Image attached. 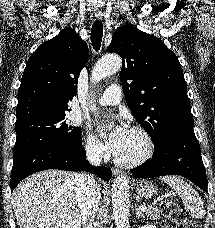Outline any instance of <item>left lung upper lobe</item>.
<instances>
[{
  "label": "left lung upper lobe",
  "instance_id": "left-lung-upper-lobe-1",
  "mask_svg": "<svg viewBox=\"0 0 215 228\" xmlns=\"http://www.w3.org/2000/svg\"><path fill=\"white\" fill-rule=\"evenodd\" d=\"M108 52L122 57L120 80L127 105L154 144L169 132L193 127L182 68L164 42L124 25L114 32Z\"/></svg>",
  "mask_w": 215,
  "mask_h": 228
}]
</instances>
